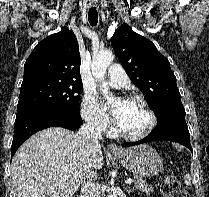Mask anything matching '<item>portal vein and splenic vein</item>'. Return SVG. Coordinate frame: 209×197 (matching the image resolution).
Instances as JSON below:
<instances>
[{
	"label": "portal vein and splenic vein",
	"instance_id": "18ae733b",
	"mask_svg": "<svg viewBox=\"0 0 209 197\" xmlns=\"http://www.w3.org/2000/svg\"><path fill=\"white\" fill-rule=\"evenodd\" d=\"M133 182H134L133 179H127V180H125V183H126V184H131V183H133Z\"/></svg>",
	"mask_w": 209,
	"mask_h": 197
}]
</instances>
